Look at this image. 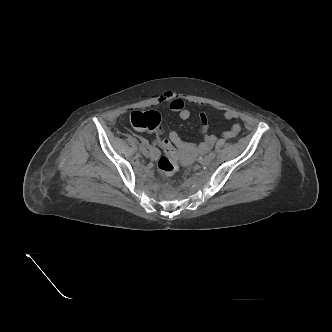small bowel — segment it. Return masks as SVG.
<instances>
[{
	"instance_id": "c3829d8e",
	"label": "small bowel",
	"mask_w": 332,
	"mask_h": 332,
	"mask_svg": "<svg viewBox=\"0 0 332 332\" xmlns=\"http://www.w3.org/2000/svg\"><path fill=\"white\" fill-rule=\"evenodd\" d=\"M161 101L168 102L170 109L175 112L181 120H187L191 116L190 110L186 107L184 100L173 92H166L160 99ZM223 113L226 120H233L238 118V113L230 108L217 107ZM200 131L204 136V139L198 145L186 143L182 140L181 136L176 131H171L169 133V141L173 143L178 149L185 153H191L194 151L203 152L209 150L216 141V136L208 134V117L205 112L200 113ZM241 131V126L239 124H233L228 131H225L222 136L224 138H234ZM152 159H155L159 155V151L155 146H150L149 150L145 153Z\"/></svg>"
}]
</instances>
